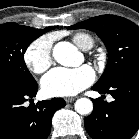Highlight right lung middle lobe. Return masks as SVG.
<instances>
[{"label": "right lung middle lobe", "mask_w": 139, "mask_h": 139, "mask_svg": "<svg viewBox=\"0 0 139 139\" xmlns=\"http://www.w3.org/2000/svg\"><path fill=\"white\" fill-rule=\"evenodd\" d=\"M43 33L13 22L0 25V78L23 85L36 82L26 67L24 53L30 43Z\"/></svg>", "instance_id": "right-lung-middle-lobe-1"}]
</instances>
